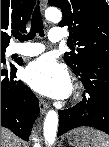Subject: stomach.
I'll return each instance as SVG.
<instances>
[{"label": "stomach", "mask_w": 109, "mask_h": 147, "mask_svg": "<svg viewBox=\"0 0 109 147\" xmlns=\"http://www.w3.org/2000/svg\"><path fill=\"white\" fill-rule=\"evenodd\" d=\"M96 132L92 128L81 127L71 130L66 137L71 147H91Z\"/></svg>", "instance_id": "stomach-1"}]
</instances>
